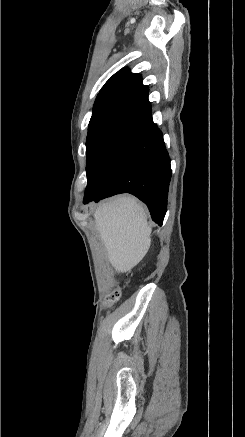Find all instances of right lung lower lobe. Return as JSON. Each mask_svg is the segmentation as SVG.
<instances>
[{
    "label": "right lung lower lobe",
    "mask_w": 245,
    "mask_h": 437,
    "mask_svg": "<svg viewBox=\"0 0 245 437\" xmlns=\"http://www.w3.org/2000/svg\"><path fill=\"white\" fill-rule=\"evenodd\" d=\"M170 179V158L163 135L149 111L108 150L88 179L83 202L131 193L148 206L152 220L161 226Z\"/></svg>",
    "instance_id": "obj_1"
}]
</instances>
